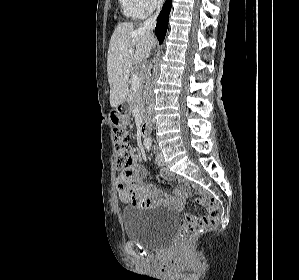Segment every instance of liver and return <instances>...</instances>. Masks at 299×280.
Listing matches in <instances>:
<instances>
[{"label":"liver","mask_w":299,"mask_h":280,"mask_svg":"<svg viewBox=\"0 0 299 280\" xmlns=\"http://www.w3.org/2000/svg\"><path fill=\"white\" fill-rule=\"evenodd\" d=\"M155 45L154 35L141 24L125 22L117 25L110 39L107 56L111 107L125 102L133 65L145 62Z\"/></svg>","instance_id":"obj_1"}]
</instances>
